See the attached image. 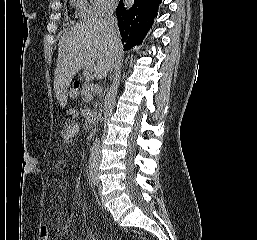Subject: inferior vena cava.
I'll use <instances>...</instances> for the list:
<instances>
[{
  "label": "inferior vena cava",
  "mask_w": 257,
  "mask_h": 240,
  "mask_svg": "<svg viewBox=\"0 0 257 240\" xmlns=\"http://www.w3.org/2000/svg\"><path fill=\"white\" fill-rule=\"evenodd\" d=\"M115 11V5H112L108 11V15L105 19V29L115 45L120 43V35L118 32L117 19L114 17L113 13Z\"/></svg>",
  "instance_id": "inferior-vena-cava-1"
}]
</instances>
